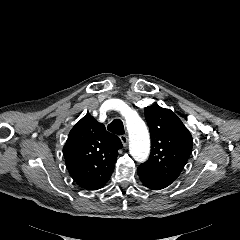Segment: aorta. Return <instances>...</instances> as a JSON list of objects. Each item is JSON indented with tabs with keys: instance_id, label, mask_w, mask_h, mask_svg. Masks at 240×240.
Segmentation results:
<instances>
[{
	"instance_id": "762f6f07",
	"label": "aorta",
	"mask_w": 240,
	"mask_h": 240,
	"mask_svg": "<svg viewBox=\"0 0 240 240\" xmlns=\"http://www.w3.org/2000/svg\"><path fill=\"white\" fill-rule=\"evenodd\" d=\"M129 132V151L131 156L138 162L148 158L150 152V139L144 121L135 113L129 112L125 117Z\"/></svg>"
}]
</instances>
